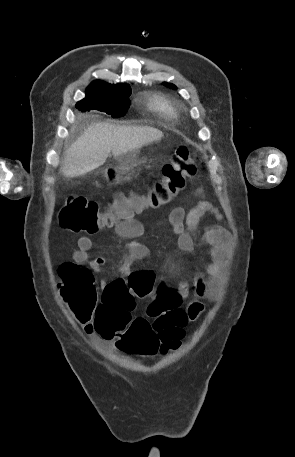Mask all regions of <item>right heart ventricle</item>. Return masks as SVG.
Returning a JSON list of instances; mask_svg holds the SVG:
<instances>
[{
	"mask_svg": "<svg viewBox=\"0 0 295 457\" xmlns=\"http://www.w3.org/2000/svg\"><path fill=\"white\" fill-rule=\"evenodd\" d=\"M148 105L153 111L165 118L172 119L177 116V108L174 103L162 95H151L148 100Z\"/></svg>",
	"mask_w": 295,
	"mask_h": 457,
	"instance_id": "right-heart-ventricle-1",
	"label": "right heart ventricle"
}]
</instances>
